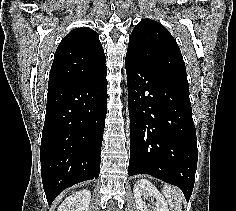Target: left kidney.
<instances>
[{
  "mask_svg": "<svg viewBox=\"0 0 236 211\" xmlns=\"http://www.w3.org/2000/svg\"><path fill=\"white\" fill-rule=\"evenodd\" d=\"M133 192L138 211H169L165 198L148 180H138L134 185ZM149 197L156 199L155 208L146 204ZM150 208L152 209L150 210Z\"/></svg>",
  "mask_w": 236,
  "mask_h": 211,
  "instance_id": "5707ae66",
  "label": "left kidney"
}]
</instances>
